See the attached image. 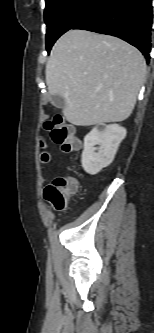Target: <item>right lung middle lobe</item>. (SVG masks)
<instances>
[{"instance_id": "1", "label": "right lung middle lobe", "mask_w": 154, "mask_h": 333, "mask_svg": "<svg viewBox=\"0 0 154 333\" xmlns=\"http://www.w3.org/2000/svg\"><path fill=\"white\" fill-rule=\"evenodd\" d=\"M46 48L79 22L99 0H45Z\"/></svg>"}]
</instances>
